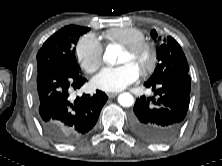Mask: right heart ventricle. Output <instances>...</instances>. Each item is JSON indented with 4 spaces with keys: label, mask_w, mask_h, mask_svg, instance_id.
<instances>
[{
    "label": "right heart ventricle",
    "mask_w": 222,
    "mask_h": 166,
    "mask_svg": "<svg viewBox=\"0 0 222 166\" xmlns=\"http://www.w3.org/2000/svg\"><path fill=\"white\" fill-rule=\"evenodd\" d=\"M104 37L122 46H129L135 43L145 41V35L142 31L133 27H119L108 30Z\"/></svg>",
    "instance_id": "obj_1"
}]
</instances>
